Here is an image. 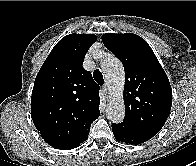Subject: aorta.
<instances>
[{
  "label": "aorta",
  "instance_id": "762f6f07",
  "mask_svg": "<svg viewBox=\"0 0 196 166\" xmlns=\"http://www.w3.org/2000/svg\"><path fill=\"white\" fill-rule=\"evenodd\" d=\"M101 68L110 92V99L107 103L106 114L113 123H121L125 116V105L123 90L125 72L119 59L108 54L101 63Z\"/></svg>",
  "mask_w": 196,
  "mask_h": 166
}]
</instances>
